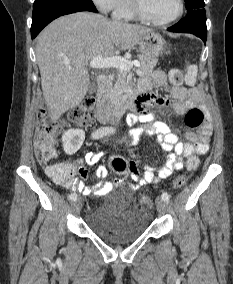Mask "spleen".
<instances>
[{"label": "spleen", "instance_id": "3e777b00", "mask_svg": "<svg viewBox=\"0 0 233 284\" xmlns=\"http://www.w3.org/2000/svg\"><path fill=\"white\" fill-rule=\"evenodd\" d=\"M198 67L196 65H191L188 68L187 75L185 76V81L188 85L193 86L196 83Z\"/></svg>", "mask_w": 233, "mask_h": 284}]
</instances>
